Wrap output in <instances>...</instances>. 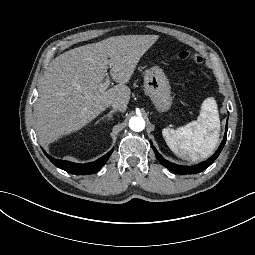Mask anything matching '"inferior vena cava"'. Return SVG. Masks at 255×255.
<instances>
[{
    "mask_svg": "<svg viewBox=\"0 0 255 255\" xmlns=\"http://www.w3.org/2000/svg\"><path fill=\"white\" fill-rule=\"evenodd\" d=\"M111 106H112V108L114 109V110H120L121 109V105H120V103H118V102H113L112 104H111Z\"/></svg>",
    "mask_w": 255,
    "mask_h": 255,
    "instance_id": "obj_1",
    "label": "inferior vena cava"
}]
</instances>
